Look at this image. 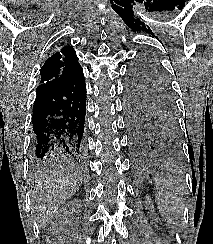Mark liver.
<instances>
[{
  "label": "liver",
  "mask_w": 213,
  "mask_h": 244,
  "mask_svg": "<svg viewBox=\"0 0 213 244\" xmlns=\"http://www.w3.org/2000/svg\"><path fill=\"white\" fill-rule=\"evenodd\" d=\"M82 180L81 172L64 161H54L34 171L30 178L31 208L40 229L78 191Z\"/></svg>",
  "instance_id": "1"
}]
</instances>
